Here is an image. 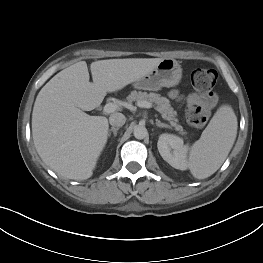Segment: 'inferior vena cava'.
I'll return each instance as SVG.
<instances>
[{
    "mask_svg": "<svg viewBox=\"0 0 263 263\" xmlns=\"http://www.w3.org/2000/svg\"><path fill=\"white\" fill-rule=\"evenodd\" d=\"M109 122L113 127H121L126 122V117L122 113H113L109 117Z\"/></svg>",
    "mask_w": 263,
    "mask_h": 263,
    "instance_id": "obj_1",
    "label": "inferior vena cava"
}]
</instances>
